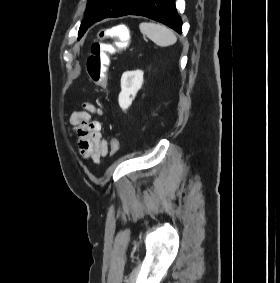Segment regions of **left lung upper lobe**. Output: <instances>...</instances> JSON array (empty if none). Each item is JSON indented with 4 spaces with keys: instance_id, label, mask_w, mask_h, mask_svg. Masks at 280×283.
I'll return each instance as SVG.
<instances>
[{
    "instance_id": "5c2ea615",
    "label": "left lung upper lobe",
    "mask_w": 280,
    "mask_h": 283,
    "mask_svg": "<svg viewBox=\"0 0 280 283\" xmlns=\"http://www.w3.org/2000/svg\"><path fill=\"white\" fill-rule=\"evenodd\" d=\"M144 0H88L85 18L81 23L78 39H80L88 27L106 17H120L129 14L142 4Z\"/></svg>"
}]
</instances>
